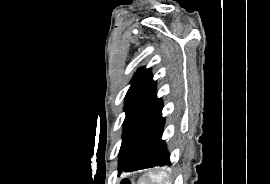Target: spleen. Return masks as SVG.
Returning <instances> with one entry per match:
<instances>
[{
    "instance_id": "obj_1",
    "label": "spleen",
    "mask_w": 270,
    "mask_h": 184,
    "mask_svg": "<svg viewBox=\"0 0 270 184\" xmlns=\"http://www.w3.org/2000/svg\"><path fill=\"white\" fill-rule=\"evenodd\" d=\"M166 178L167 175L165 172L159 174L148 173L139 180L138 184H169Z\"/></svg>"
}]
</instances>
